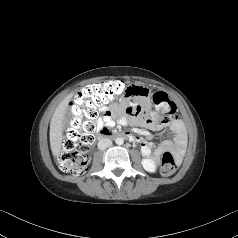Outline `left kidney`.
Listing matches in <instances>:
<instances>
[{
	"label": "left kidney",
	"mask_w": 238,
	"mask_h": 238,
	"mask_svg": "<svg viewBox=\"0 0 238 238\" xmlns=\"http://www.w3.org/2000/svg\"><path fill=\"white\" fill-rule=\"evenodd\" d=\"M142 166L147 172L154 173L156 171V163L152 158L142 159Z\"/></svg>",
	"instance_id": "1"
}]
</instances>
